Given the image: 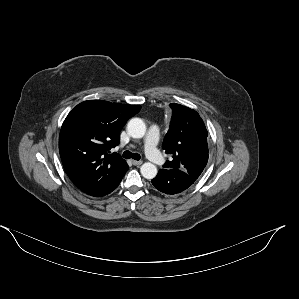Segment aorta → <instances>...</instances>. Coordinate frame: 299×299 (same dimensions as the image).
I'll use <instances>...</instances> for the list:
<instances>
[{
    "instance_id": "obj_1",
    "label": "aorta",
    "mask_w": 299,
    "mask_h": 299,
    "mask_svg": "<svg viewBox=\"0 0 299 299\" xmlns=\"http://www.w3.org/2000/svg\"><path fill=\"white\" fill-rule=\"evenodd\" d=\"M127 132L132 138H142L146 133V125L142 119L132 118L127 124ZM140 172L144 178L153 179L157 175V167L146 162L141 166Z\"/></svg>"
}]
</instances>
